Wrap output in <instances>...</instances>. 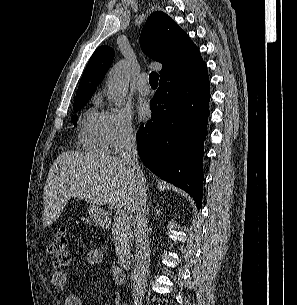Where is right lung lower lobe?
<instances>
[{"instance_id": "1", "label": "right lung lower lobe", "mask_w": 297, "mask_h": 305, "mask_svg": "<svg viewBox=\"0 0 297 305\" xmlns=\"http://www.w3.org/2000/svg\"><path fill=\"white\" fill-rule=\"evenodd\" d=\"M210 81L203 62L183 75L163 79L153 96L150 121L137 133L143 163L157 176L202 204Z\"/></svg>"}]
</instances>
